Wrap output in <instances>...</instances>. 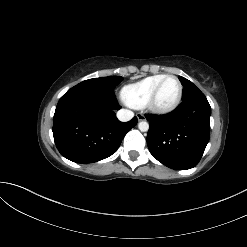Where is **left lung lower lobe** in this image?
<instances>
[{"label": "left lung lower lobe", "mask_w": 247, "mask_h": 247, "mask_svg": "<svg viewBox=\"0 0 247 247\" xmlns=\"http://www.w3.org/2000/svg\"><path fill=\"white\" fill-rule=\"evenodd\" d=\"M211 107L197 93L166 115H145L150 122L147 145L162 164L175 170L195 167L210 136Z\"/></svg>", "instance_id": "obj_1"}]
</instances>
